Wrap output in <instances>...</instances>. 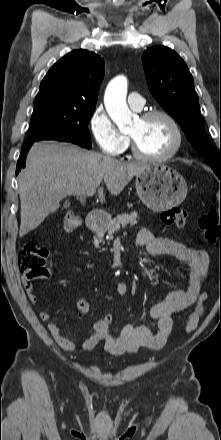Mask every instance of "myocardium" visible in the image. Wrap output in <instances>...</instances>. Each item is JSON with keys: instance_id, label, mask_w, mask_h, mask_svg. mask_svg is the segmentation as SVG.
<instances>
[{"instance_id": "myocardium-1", "label": "myocardium", "mask_w": 221, "mask_h": 440, "mask_svg": "<svg viewBox=\"0 0 221 440\" xmlns=\"http://www.w3.org/2000/svg\"><path fill=\"white\" fill-rule=\"evenodd\" d=\"M157 116L165 118L170 123V125L173 129V132H174V144H173L172 148L170 149V151L167 152L166 154H163L160 156H151V155L144 154L139 149L135 139L132 136H130L132 153L139 160L149 161V162H164V161H167V160H170L171 158H173L182 147V143H183L182 130L180 128L178 121L168 111L163 110V109H152V110L144 112L140 116V119L141 120H148V119H151V118L157 117Z\"/></svg>"}]
</instances>
